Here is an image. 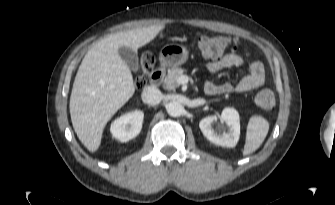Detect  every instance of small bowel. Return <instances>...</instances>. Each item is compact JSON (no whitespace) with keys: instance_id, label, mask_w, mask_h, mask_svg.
Segmentation results:
<instances>
[{"instance_id":"c3829d8e","label":"small bowel","mask_w":335,"mask_h":205,"mask_svg":"<svg viewBox=\"0 0 335 205\" xmlns=\"http://www.w3.org/2000/svg\"><path fill=\"white\" fill-rule=\"evenodd\" d=\"M244 58L250 59L248 54H245V57H242L241 55L235 53H229L218 60L208 63L207 70L210 73H216L220 70L231 67H241L245 62ZM264 83L265 70L263 64L258 60L251 59L249 73L244 76L236 85H232L230 83L216 85L209 82L205 85V87L212 89L213 94H225L234 91L248 92L261 87L264 85Z\"/></svg>"}]
</instances>
